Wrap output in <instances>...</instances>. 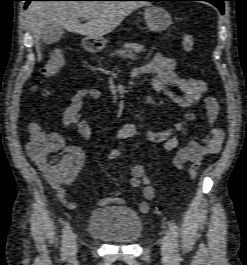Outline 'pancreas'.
<instances>
[{
	"mask_svg": "<svg viewBox=\"0 0 247 265\" xmlns=\"http://www.w3.org/2000/svg\"><path fill=\"white\" fill-rule=\"evenodd\" d=\"M144 51L143 47H137L134 43H125L120 49L115 50L110 56H118L123 59L137 60V54Z\"/></svg>",
	"mask_w": 247,
	"mask_h": 265,
	"instance_id": "obj_1",
	"label": "pancreas"
}]
</instances>
